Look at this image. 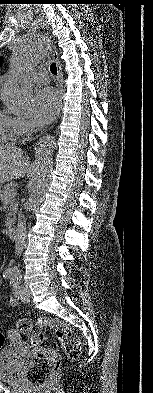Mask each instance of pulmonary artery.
I'll list each match as a JSON object with an SVG mask.
<instances>
[{"mask_svg": "<svg viewBox=\"0 0 153 393\" xmlns=\"http://www.w3.org/2000/svg\"><path fill=\"white\" fill-rule=\"evenodd\" d=\"M31 78L34 81V83L40 84V85L46 84L48 82V76L46 73L37 72V73L32 74Z\"/></svg>", "mask_w": 153, "mask_h": 393, "instance_id": "e3ab8cb5", "label": "pulmonary artery"}]
</instances>
